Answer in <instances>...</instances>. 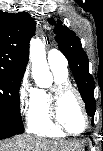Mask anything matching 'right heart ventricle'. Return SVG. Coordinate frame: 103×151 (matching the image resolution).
<instances>
[{
	"mask_svg": "<svg viewBox=\"0 0 103 151\" xmlns=\"http://www.w3.org/2000/svg\"><path fill=\"white\" fill-rule=\"evenodd\" d=\"M54 76V84H68V71L50 66ZM49 90L36 88L32 90V96L26 116V128L31 134L50 137L64 138L66 133L53 126L49 117Z\"/></svg>",
	"mask_w": 103,
	"mask_h": 151,
	"instance_id": "right-heart-ventricle-1",
	"label": "right heart ventricle"
}]
</instances>
